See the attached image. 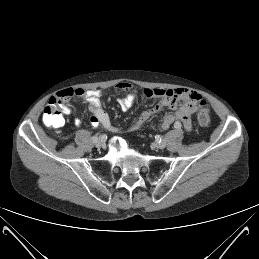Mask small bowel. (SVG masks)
I'll return each instance as SVG.
<instances>
[{
	"mask_svg": "<svg viewBox=\"0 0 259 259\" xmlns=\"http://www.w3.org/2000/svg\"><path fill=\"white\" fill-rule=\"evenodd\" d=\"M117 90L126 93V96L117 100L121 110L127 111L140 98H157L159 102L152 108L145 110L137 119H135L128 129L136 131L150 123L151 119L159 113L164 107L173 110V113L166 114L161 122L160 127L163 130L168 129L173 123L179 122L186 131L192 130L191 115L199 108L201 96L193 90L187 88L162 89V88H146L139 92L134 85L127 82H121L116 86ZM82 98L89 104L91 112L90 122L93 126H102L113 133L118 132V128L114 127L109 114L102 106L101 90H84L82 88L65 89L57 93L54 99L62 102V109L65 113L70 110L64 105L70 97ZM75 124L79 126L81 121L75 120Z\"/></svg>",
	"mask_w": 259,
	"mask_h": 259,
	"instance_id": "c3829d8e",
	"label": "small bowel"
}]
</instances>
